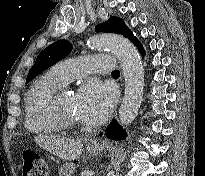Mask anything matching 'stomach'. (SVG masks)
I'll return each mask as SVG.
<instances>
[{
  "label": "stomach",
  "mask_w": 205,
  "mask_h": 176,
  "mask_svg": "<svg viewBox=\"0 0 205 176\" xmlns=\"http://www.w3.org/2000/svg\"><path fill=\"white\" fill-rule=\"evenodd\" d=\"M87 151L92 155H98L103 151V145L99 142L88 140ZM75 166L72 163H66L60 172V176H72Z\"/></svg>",
  "instance_id": "stomach-1"
}]
</instances>
